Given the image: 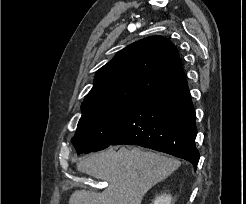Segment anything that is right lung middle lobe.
Segmentation results:
<instances>
[{"label":"right lung middle lobe","instance_id":"right-lung-middle-lobe-1","mask_svg":"<svg viewBox=\"0 0 246 204\" xmlns=\"http://www.w3.org/2000/svg\"><path fill=\"white\" fill-rule=\"evenodd\" d=\"M136 98L84 102L81 106L82 117L72 138L77 153L95 152L110 146Z\"/></svg>","mask_w":246,"mask_h":204}]
</instances>
